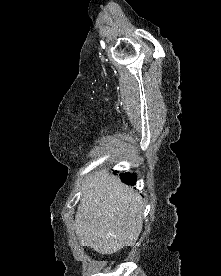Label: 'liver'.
I'll use <instances>...</instances> for the list:
<instances>
[{
	"mask_svg": "<svg viewBox=\"0 0 221 276\" xmlns=\"http://www.w3.org/2000/svg\"><path fill=\"white\" fill-rule=\"evenodd\" d=\"M142 198L106 170L96 172L86 183L75 218L81 246L112 254L132 246L143 225Z\"/></svg>",
	"mask_w": 221,
	"mask_h": 276,
	"instance_id": "6515ba94",
	"label": "liver"
}]
</instances>
